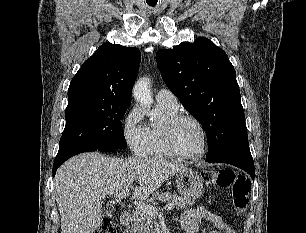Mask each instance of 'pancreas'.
<instances>
[{"label":"pancreas","mask_w":306,"mask_h":233,"mask_svg":"<svg viewBox=\"0 0 306 233\" xmlns=\"http://www.w3.org/2000/svg\"><path fill=\"white\" fill-rule=\"evenodd\" d=\"M157 199L172 203L177 209H183L195 203L194 199L185 198L170 192H162L154 196L150 202L153 204ZM130 233H155L153 231V215L136 208L132 216V226Z\"/></svg>","instance_id":"obj_1"}]
</instances>
